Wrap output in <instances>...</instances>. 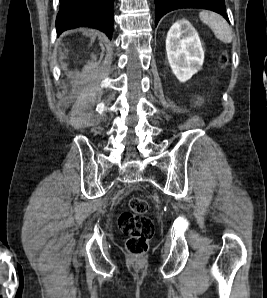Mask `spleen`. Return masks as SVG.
<instances>
[{"instance_id":"3e777b00","label":"spleen","mask_w":267,"mask_h":298,"mask_svg":"<svg viewBox=\"0 0 267 298\" xmlns=\"http://www.w3.org/2000/svg\"><path fill=\"white\" fill-rule=\"evenodd\" d=\"M200 20L208 25L215 36L223 43L232 42V30L227 21L219 14L202 11L199 13Z\"/></svg>"}]
</instances>
